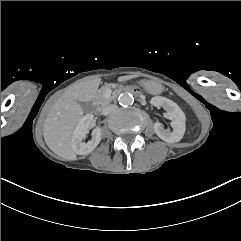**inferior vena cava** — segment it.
<instances>
[{
  "instance_id": "obj_1",
  "label": "inferior vena cava",
  "mask_w": 241,
  "mask_h": 241,
  "mask_svg": "<svg viewBox=\"0 0 241 241\" xmlns=\"http://www.w3.org/2000/svg\"><path fill=\"white\" fill-rule=\"evenodd\" d=\"M117 109V105H114V104H111V105H108L106 107L103 108L102 110V114L104 116H107L109 115L110 113H112L113 111H115Z\"/></svg>"
}]
</instances>
